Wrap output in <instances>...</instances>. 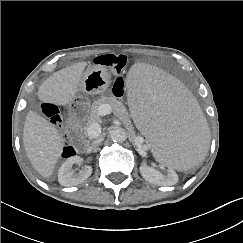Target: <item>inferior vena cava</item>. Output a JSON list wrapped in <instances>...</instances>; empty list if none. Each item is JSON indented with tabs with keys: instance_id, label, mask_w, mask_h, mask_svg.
<instances>
[{
	"instance_id": "inferior-vena-cava-1",
	"label": "inferior vena cava",
	"mask_w": 243,
	"mask_h": 243,
	"mask_svg": "<svg viewBox=\"0 0 243 243\" xmlns=\"http://www.w3.org/2000/svg\"><path fill=\"white\" fill-rule=\"evenodd\" d=\"M99 135H100V134H99ZM99 135H98V136H99ZM98 136H96V137H94V138H97ZM101 141H102L101 139L97 138L96 140H94V141L92 142V147H96V146H98V145L100 144Z\"/></svg>"
}]
</instances>
